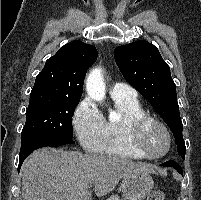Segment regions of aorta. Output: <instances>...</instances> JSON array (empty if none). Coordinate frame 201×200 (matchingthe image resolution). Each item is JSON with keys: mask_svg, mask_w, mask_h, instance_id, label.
<instances>
[{"mask_svg": "<svg viewBox=\"0 0 201 200\" xmlns=\"http://www.w3.org/2000/svg\"><path fill=\"white\" fill-rule=\"evenodd\" d=\"M86 90L88 95L95 101L102 102L105 98V83L100 68L90 71L86 80Z\"/></svg>", "mask_w": 201, "mask_h": 200, "instance_id": "obj_1", "label": "aorta"}]
</instances>
